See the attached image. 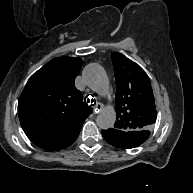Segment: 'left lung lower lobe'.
Returning <instances> with one entry per match:
<instances>
[{"mask_svg":"<svg viewBox=\"0 0 193 193\" xmlns=\"http://www.w3.org/2000/svg\"><path fill=\"white\" fill-rule=\"evenodd\" d=\"M149 134V131L137 134L112 128L102 130V135L109 144L123 149L135 148L141 145L148 138Z\"/></svg>","mask_w":193,"mask_h":193,"instance_id":"1","label":"left lung lower lobe"}]
</instances>
